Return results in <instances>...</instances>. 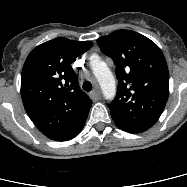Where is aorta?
<instances>
[{
    "mask_svg": "<svg viewBox=\"0 0 187 187\" xmlns=\"http://www.w3.org/2000/svg\"><path fill=\"white\" fill-rule=\"evenodd\" d=\"M91 68L101 86L104 97L108 100L113 99L116 94V84L114 76L107 64L104 61L99 60L98 57H92Z\"/></svg>",
    "mask_w": 187,
    "mask_h": 187,
    "instance_id": "1",
    "label": "aorta"
}]
</instances>
